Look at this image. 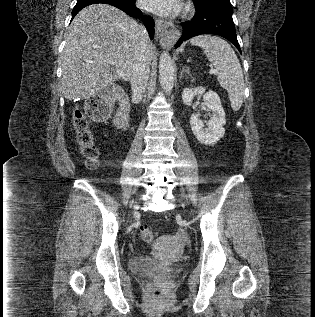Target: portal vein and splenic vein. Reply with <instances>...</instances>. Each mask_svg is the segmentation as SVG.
Here are the masks:
<instances>
[{"instance_id": "1", "label": "portal vein and splenic vein", "mask_w": 315, "mask_h": 317, "mask_svg": "<svg viewBox=\"0 0 315 317\" xmlns=\"http://www.w3.org/2000/svg\"><path fill=\"white\" fill-rule=\"evenodd\" d=\"M116 74L118 75V76H123V73H122V71H120V70H118V69H116ZM216 72V70H214L213 68L209 71V73L210 74H213V73H215Z\"/></svg>"}]
</instances>
